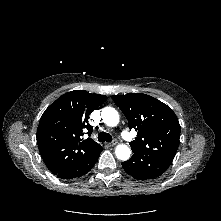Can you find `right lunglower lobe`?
I'll return each instance as SVG.
<instances>
[{
    "label": "right lung lower lobe",
    "mask_w": 221,
    "mask_h": 221,
    "mask_svg": "<svg viewBox=\"0 0 221 221\" xmlns=\"http://www.w3.org/2000/svg\"><path fill=\"white\" fill-rule=\"evenodd\" d=\"M101 151H102V147L86 155L82 159L71 164L70 166L66 167L65 169H63L59 173H56L55 175L58 178L67 179V180L78 178L80 176L85 175L93 168L96 161L98 160V157Z\"/></svg>",
    "instance_id": "1"
}]
</instances>
